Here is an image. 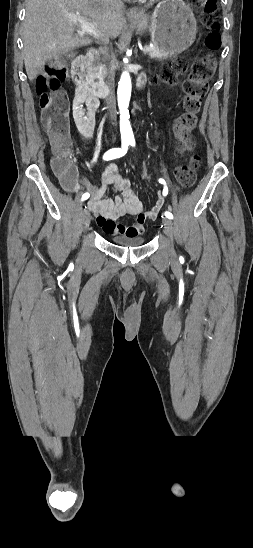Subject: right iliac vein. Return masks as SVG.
<instances>
[{
	"label": "right iliac vein",
	"instance_id": "obj_1",
	"mask_svg": "<svg viewBox=\"0 0 253 548\" xmlns=\"http://www.w3.org/2000/svg\"><path fill=\"white\" fill-rule=\"evenodd\" d=\"M90 220V213L87 210L81 212V222L83 229H87L89 227Z\"/></svg>",
	"mask_w": 253,
	"mask_h": 548
}]
</instances>
